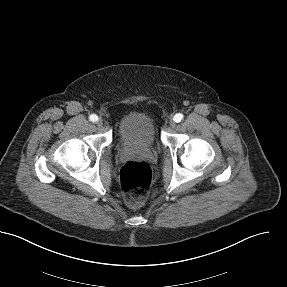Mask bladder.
<instances>
[{
    "label": "bladder",
    "mask_w": 287,
    "mask_h": 287,
    "mask_svg": "<svg viewBox=\"0 0 287 287\" xmlns=\"http://www.w3.org/2000/svg\"><path fill=\"white\" fill-rule=\"evenodd\" d=\"M118 141L124 148L149 149L156 142L153 119L144 112L124 116L118 127Z\"/></svg>",
    "instance_id": "bladder-1"
}]
</instances>
